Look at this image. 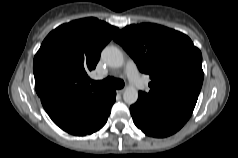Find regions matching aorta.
I'll return each instance as SVG.
<instances>
[{
    "instance_id": "762f6f07",
    "label": "aorta",
    "mask_w": 238,
    "mask_h": 158,
    "mask_svg": "<svg viewBox=\"0 0 238 158\" xmlns=\"http://www.w3.org/2000/svg\"><path fill=\"white\" fill-rule=\"evenodd\" d=\"M103 61L113 68H120L124 64L123 53L115 46H107L101 53ZM123 99L127 104H134L138 99V90L133 86H127L123 93Z\"/></svg>"
}]
</instances>
